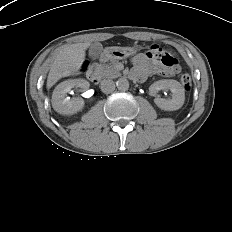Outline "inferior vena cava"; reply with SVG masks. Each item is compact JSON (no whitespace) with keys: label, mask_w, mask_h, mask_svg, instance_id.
<instances>
[{"label":"inferior vena cava","mask_w":232,"mask_h":232,"mask_svg":"<svg viewBox=\"0 0 232 232\" xmlns=\"http://www.w3.org/2000/svg\"><path fill=\"white\" fill-rule=\"evenodd\" d=\"M100 87L103 93H111L115 90V83L111 79L103 80Z\"/></svg>","instance_id":"inferior-vena-cava-1"}]
</instances>
